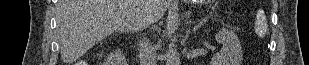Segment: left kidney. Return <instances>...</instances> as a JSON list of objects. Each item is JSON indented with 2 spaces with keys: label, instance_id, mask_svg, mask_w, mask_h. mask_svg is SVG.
I'll use <instances>...</instances> for the list:
<instances>
[{
  "label": "left kidney",
  "instance_id": "5707ae66",
  "mask_svg": "<svg viewBox=\"0 0 309 65\" xmlns=\"http://www.w3.org/2000/svg\"><path fill=\"white\" fill-rule=\"evenodd\" d=\"M217 43L222 44L221 50L213 56L212 65H241L243 51L238 36L225 28L216 34Z\"/></svg>",
  "mask_w": 309,
  "mask_h": 65
}]
</instances>
